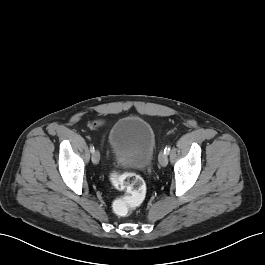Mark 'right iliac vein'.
Masks as SVG:
<instances>
[{
  "mask_svg": "<svg viewBox=\"0 0 265 265\" xmlns=\"http://www.w3.org/2000/svg\"><path fill=\"white\" fill-rule=\"evenodd\" d=\"M99 160H100V153L98 151H94L92 154V162L94 164H98Z\"/></svg>",
  "mask_w": 265,
  "mask_h": 265,
  "instance_id": "1",
  "label": "right iliac vein"
}]
</instances>
